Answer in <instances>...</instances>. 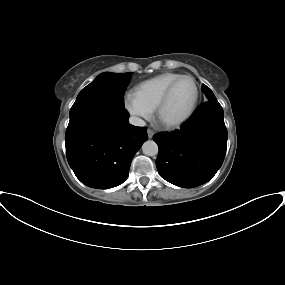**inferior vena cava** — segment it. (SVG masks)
Listing matches in <instances>:
<instances>
[{
	"label": "inferior vena cava",
	"instance_id": "inferior-vena-cava-1",
	"mask_svg": "<svg viewBox=\"0 0 285 285\" xmlns=\"http://www.w3.org/2000/svg\"><path fill=\"white\" fill-rule=\"evenodd\" d=\"M129 123L134 125V126H139V127L145 126V121L138 118V117H130Z\"/></svg>",
	"mask_w": 285,
	"mask_h": 285
}]
</instances>
